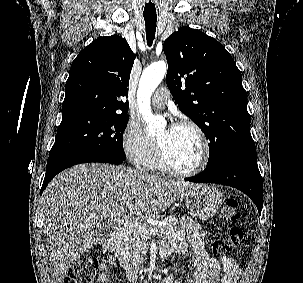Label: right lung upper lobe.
<instances>
[{
  "instance_id": "1",
  "label": "right lung upper lobe",
  "mask_w": 303,
  "mask_h": 283,
  "mask_svg": "<svg viewBox=\"0 0 303 283\" xmlns=\"http://www.w3.org/2000/svg\"><path fill=\"white\" fill-rule=\"evenodd\" d=\"M135 55L118 35L100 37L74 59L66 81L63 117L91 112L128 116V84Z\"/></svg>"
}]
</instances>
